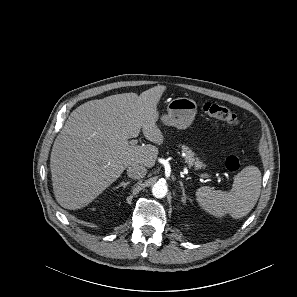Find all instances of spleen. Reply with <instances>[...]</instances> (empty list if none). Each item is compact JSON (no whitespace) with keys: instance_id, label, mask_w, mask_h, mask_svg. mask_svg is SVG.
I'll return each instance as SVG.
<instances>
[{"instance_id":"1","label":"spleen","mask_w":297,"mask_h":297,"mask_svg":"<svg viewBox=\"0 0 297 297\" xmlns=\"http://www.w3.org/2000/svg\"><path fill=\"white\" fill-rule=\"evenodd\" d=\"M261 182L260 170L256 166H247L235 176L230 192L203 186L196 191V200L202 209L216 217L229 213L239 219L246 216L257 203Z\"/></svg>"}]
</instances>
